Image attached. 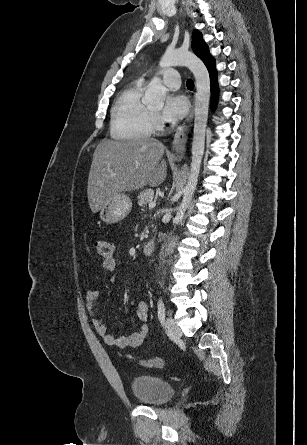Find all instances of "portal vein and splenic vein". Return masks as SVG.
Returning a JSON list of instances; mask_svg holds the SVG:
<instances>
[{"label":"portal vein and splenic vein","mask_w":307,"mask_h":445,"mask_svg":"<svg viewBox=\"0 0 307 445\" xmlns=\"http://www.w3.org/2000/svg\"><path fill=\"white\" fill-rule=\"evenodd\" d=\"M109 172H112V170H109ZM113 174H116V172H113ZM148 206H149V208H154V206H156L155 200H152V202H149Z\"/></svg>","instance_id":"obj_1"}]
</instances>
